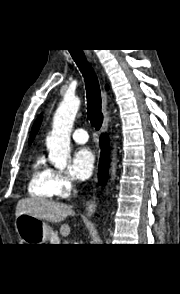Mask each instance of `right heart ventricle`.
I'll use <instances>...</instances> for the list:
<instances>
[{"label":"right heart ventricle","instance_id":"e07e8e85","mask_svg":"<svg viewBox=\"0 0 180 294\" xmlns=\"http://www.w3.org/2000/svg\"><path fill=\"white\" fill-rule=\"evenodd\" d=\"M27 189L29 195L36 198L51 199L56 195L54 170L42 154L36 155L32 162Z\"/></svg>","mask_w":180,"mask_h":294}]
</instances>
